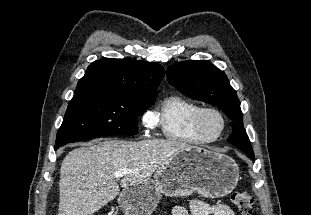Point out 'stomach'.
Segmentation results:
<instances>
[{
  "label": "stomach",
  "mask_w": 311,
  "mask_h": 215,
  "mask_svg": "<svg viewBox=\"0 0 311 215\" xmlns=\"http://www.w3.org/2000/svg\"><path fill=\"white\" fill-rule=\"evenodd\" d=\"M238 177V166L229 156L191 147L162 164L153 178L124 189L118 203L124 215H151L162 194L223 197L234 190Z\"/></svg>",
  "instance_id": "stomach-1"
}]
</instances>
